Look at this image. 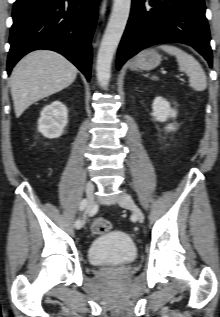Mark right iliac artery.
Listing matches in <instances>:
<instances>
[{
	"label": "right iliac artery",
	"instance_id": "obj_1",
	"mask_svg": "<svg viewBox=\"0 0 220 317\" xmlns=\"http://www.w3.org/2000/svg\"><path fill=\"white\" fill-rule=\"evenodd\" d=\"M86 205H87V201H86V199H83V200L81 201V203H80V207H79L80 210L83 211V210L86 208ZM81 226H82L81 220L78 219V220L75 222V227H76L77 229H79V228H81Z\"/></svg>",
	"mask_w": 220,
	"mask_h": 317
}]
</instances>
